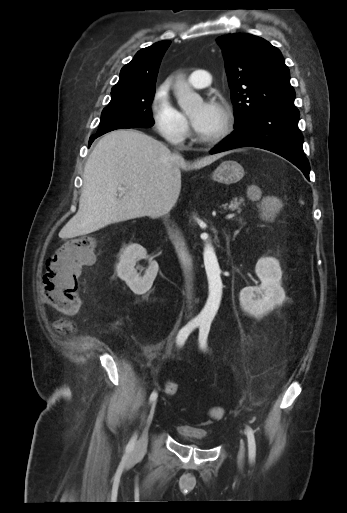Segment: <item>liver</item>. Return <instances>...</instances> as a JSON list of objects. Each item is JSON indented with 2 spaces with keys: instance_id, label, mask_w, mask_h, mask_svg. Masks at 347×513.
I'll list each match as a JSON object with an SVG mask.
<instances>
[{
  "instance_id": "6515ba94",
  "label": "liver",
  "mask_w": 347,
  "mask_h": 513,
  "mask_svg": "<svg viewBox=\"0 0 347 513\" xmlns=\"http://www.w3.org/2000/svg\"><path fill=\"white\" fill-rule=\"evenodd\" d=\"M227 152L188 164L161 142L138 130L105 134L91 152L83 174L77 213L61 229V238L95 232L109 224L162 215L164 196L178 199L181 171L207 166ZM118 187L126 190L118 195Z\"/></svg>"
}]
</instances>
